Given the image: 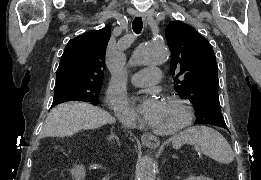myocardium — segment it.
Returning a JSON list of instances; mask_svg holds the SVG:
<instances>
[{"instance_id": "1", "label": "myocardium", "mask_w": 261, "mask_h": 180, "mask_svg": "<svg viewBox=\"0 0 261 180\" xmlns=\"http://www.w3.org/2000/svg\"><path fill=\"white\" fill-rule=\"evenodd\" d=\"M165 98L175 101L182 106L183 113L177 127L169 132H157L153 131L150 126L147 125V131L149 134L155 136L158 139L172 140L185 132L192 118V110L190 102L184 96L178 93L170 92L166 95Z\"/></svg>"}]
</instances>
